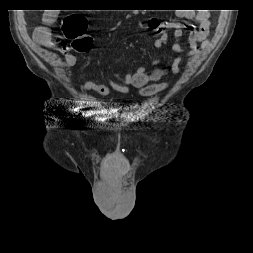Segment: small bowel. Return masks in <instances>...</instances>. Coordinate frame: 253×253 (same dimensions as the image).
<instances>
[{
  "label": "small bowel",
  "instance_id": "small-bowel-1",
  "mask_svg": "<svg viewBox=\"0 0 253 253\" xmlns=\"http://www.w3.org/2000/svg\"><path fill=\"white\" fill-rule=\"evenodd\" d=\"M192 15L198 25V29L190 22L179 23L175 21L160 22L157 18H152L147 25L154 31V46L156 48H164L168 43V34L173 32L172 49L178 53L170 66L159 67L161 60L155 59L150 67H136L132 73H127L125 76L118 74L114 75V79H108L107 84H99L94 81H86L78 84L83 91H94L102 96L110 94L111 90L127 94L130 87L136 89L141 96H152L157 94L170 85L169 81H161L170 72L179 74L181 72V63L186 56L194 57L199 54V45L207 47L210 41V20L208 11H198ZM53 23V16L47 15L44 18V24L35 29L33 33L34 41L43 47H54L50 40L49 27ZM183 35H187V42L182 46L180 40ZM64 60L67 66L72 67L77 63V59L73 54L67 53L64 55Z\"/></svg>",
  "mask_w": 253,
  "mask_h": 253
}]
</instances>
